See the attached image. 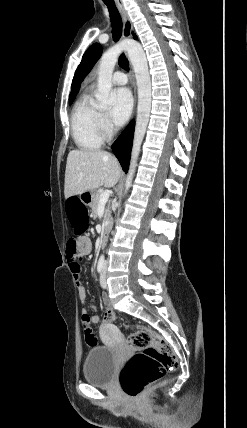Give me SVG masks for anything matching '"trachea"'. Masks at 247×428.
Listing matches in <instances>:
<instances>
[{
  "label": "trachea",
  "mask_w": 247,
  "mask_h": 428,
  "mask_svg": "<svg viewBox=\"0 0 247 428\" xmlns=\"http://www.w3.org/2000/svg\"><path fill=\"white\" fill-rule=\"evenodd\" d=\"M105 1V0H103ZM108 8L110 14V20L112 24V32L114 41H118L122 35V19L119 14V11L115 5V3L104 2ZM119 65L124 70H129V63L124 54H121L119 57Z\"/></svg>",
  "instance_id": "obj_1"
}]
</instances>
